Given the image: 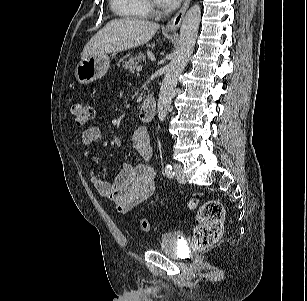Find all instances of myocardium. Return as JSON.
Segmentation results:
<instances>
[{"instance_id":"1","label":"myocardium","mask_w":307,"mask_h":301,"mask_svg":"<svg viewBox=\"0 0 307 301\" xmlns=\"http://www.w3.org/2000/svg\"><path fill=\"white\" fill-rule=\"evenodd\" d=\"M148 6H151V1L150 0H146Z\"/></svg>"}]
</instances>
